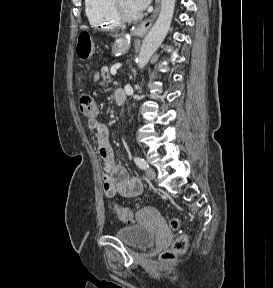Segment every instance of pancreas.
I'll return each mask as SVG.
<instances>
[{"mask_svg":"<svg viewBox=\"0 0 273 288\" xmlns=\"http://www.w3.org/2000/svg\"><path fill=\"white\" fill-rule=\"evenodd\" d=\"M101 76H102L101 85L104 86L105 83L111 82V77H110V74H109L108 69H106V68L102 69V71H101Z\"/></svg>","mask_w":273,"mask_h":288,"instance_id":"cf45deb5","label":"pancreas"}]
</instances>
